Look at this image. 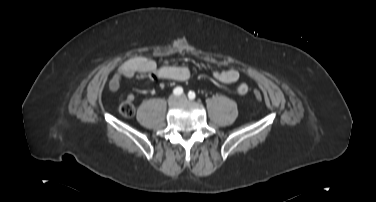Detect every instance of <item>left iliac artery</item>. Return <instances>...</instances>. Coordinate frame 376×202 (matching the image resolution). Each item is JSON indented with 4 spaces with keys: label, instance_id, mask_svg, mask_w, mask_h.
Here are the masks:
<instances>
[{
    "label": "left iliac artery",
    "instance_id": "1",
    "mask_svg": "<svg viewBox=\"0 0 376 202\" xmlns=\"http://www.w3.org/2000/svg\"><path fill=\"white\" fill-rule=\"evenodd\" d=\"M188 97H189V99L194 100L196 98L195 92L194 91H189Z\"/></svg>",
    "mask_w": 376,
    "mask_h": 202
}]
</instances>
